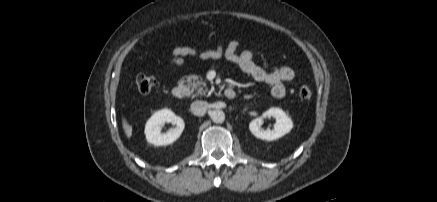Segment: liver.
Instances as JSON below:
<instances>
[{"label": "liver", "instance_id": "liver-1", "mask_svg": "<svg viewBox=\"0 0 437 202\" xmlns=\"http://www.w3.org/2000/svg\"><path fill=\"white\" fill-rule=\"evenodd\" d=\"M122 127L127 138L132 136V126L127 122L126 118L122 116Z\"/></svg>", "mask_w": 437, "mask_h": 202}]
</instances>
